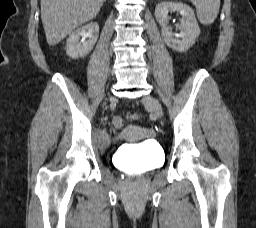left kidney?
<instances>
[{"label": "left kidney", "mask_w": 256, "mask_h": 228, "mask_svg": "<svg viewBox=\"0 0 256 228\" xmlns=\"http://www.w3.org/2000/svg\"><path fill=\"white\" fill-rule=\"evenodd\" d=\"M179 12L182 16L181 24L178 26L180 34H174L168 26V14ZM155 17L162 27V38L172 49L185 52L192 47L200 34V29L195 18L194 11L186 4L178 2H161L156 5Z\"/></svg>", "instance_id": "1"}]
</instances>
